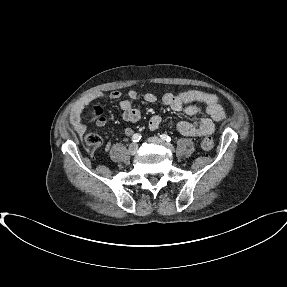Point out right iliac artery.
Instances as JSON below:
<instances>
[{
  "label": "right iliac artery",
  "mask_w": 287,
  "mask_h": 287,
  "mask_svg": "<svg viewBox=\"0 0 287 287\" xmlns=\"http://www.w3.org/2000/svg\"><path fill=\"white\" fill-rule=\"evenodd\" d=\"M140 139H141V135L138 134V133H136V134H134V135L132 136V141L135 142V143H136V142H139Z\"/></svg>",
  "instance_id": "right-iliac-artery-1"
}]
</instances>
